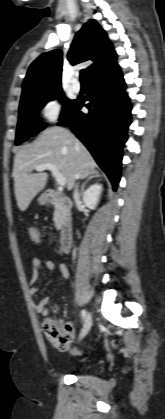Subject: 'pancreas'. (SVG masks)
Masks as SVG:
<instances>
[{
    "instance_id": "cf45deb5",
    "label": "pancreas",
    "mask_w": 165,
    "mask_h": 419,
    "mask_svg": "<svg viewBox=\"0 0 165 419\" xmlns=\"http://www.w3.org/2000/svg\"><path fill=\"white\" fill-rule=\"evenodd\" d=\"M53 221H54L56 229L59 230L62 227L63 220L60 217L58 210H56L53 215Z\"/></svg>"
}]
</instances>
